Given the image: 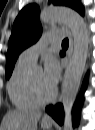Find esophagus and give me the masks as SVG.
I'll return each instance as SVG.
<instances>
[{
	"label": "esophagus",
	"instance_id": "34e87169",
	"mask_svg": "<svg viewBox=\"0 0 95 130\" xmlns=\"http://www.w3.org/2000/svg\"><path fill=\"white\" fill-rule=\"evenodd\" d=\"M64 29L66 30V33L69 38V48L67 51V57H68V60H70L72 52H73V48H74L73 37H72L71 31L69 30L67 26H64ZM44 120H51V117L49 115H44Z\"/></svg>",
	"mask_w": 95,
	"mask_h": 130
}]
</instances>
